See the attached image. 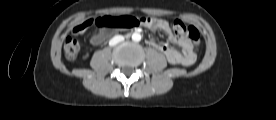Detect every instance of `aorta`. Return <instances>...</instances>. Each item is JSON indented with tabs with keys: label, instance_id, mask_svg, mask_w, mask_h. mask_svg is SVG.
Returning a JSON list of instances; mask_svg holds the SVG:
<instances>
[{
	"label": "aorta",
	"instance_id": "obj_1",
	"mask_svg": "<svg viewBox=\"0 0 276 120\" xmlns=\"http://www.w3.org/2000/svg\"><path fill=\"white\" fill-rule=\"evenodd\" d=\"M132 40L134 42H139L141 40V35L139 33H133L132 34Z\"/></svg>",
	"mask_w": 276,
	"mask_h": 120
}]
</instances>
